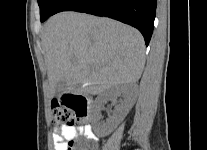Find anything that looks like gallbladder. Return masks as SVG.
Segmentation results:
<instances>
[{"mask_svg": "<svg viewBox=\"0 0 207 150\" xmlns=\"http://www.w3.org/2000/svg\"><path fill=\"white\" fill-rule=\"evenodd\" d=\"M66 89H67V84H66L65 80H64V79L60 80V81L57 83L56 88H55L56 95L61 94V93L64 92Z\"/></svg>", "mask_w": 207, "mask_h": 150, "instance_id": "1", "label": "gallbladder"}]
</instances>
